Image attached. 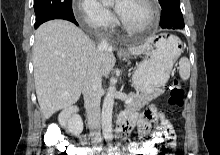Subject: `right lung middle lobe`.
Here are the masks:
<instances>
[{"label":"right lung middle lobe","instance_id":"dd1d6c3e","mask_svg":"<svg viewBox=\"0 0 220 155\" xmlns=\"http://www.w3.org/2000/svg\"><path fill=\"white\" fill-rule=\"evenodd\" d=\"M36 21L55 13L73 15L72 0H34Z\"/></svg>","mask_w":220,"mask_h":155}]
</instances>
